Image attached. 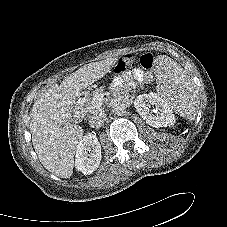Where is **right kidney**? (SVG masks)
<instances>
[{"mask_svg": "<svg viewBox=\"0 0 227 227\" xmlns=\"http://www.w3.org/2000/svg\"><path fill=\"white\" fill-rule=\"evenodd\" d=\"M101 159V145L96 135L87 133L77 145L76 169L84 175H90L99 167Z\"/></svg>", "mask_w": 227, "mask_h": 227, "instance_id": "ca27d5eb", "label": "right kidney"}]
</instances>
